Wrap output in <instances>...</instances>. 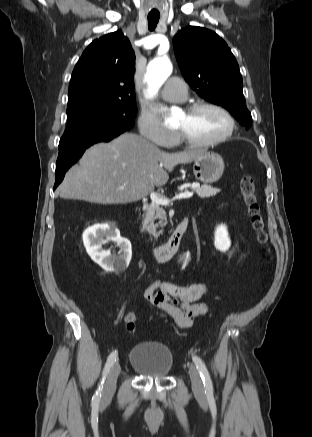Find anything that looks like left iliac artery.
<instances>
[{
  "mask_svg": "<svg viewBox=\"0 0 312 437\" xmlns=\"http://www.w3.org/2000/svg\"><path fill=\"white\" fill-rule=\"evenodd\" d=\"M193 362L196 365L197 370L200 373V376L202 378L204 387H205V393L208 396H212L213 395V384H212V380L210 378L209 372L206 368L205 363L202 361V359L198 356H193Z\"/></svg>",
  "mask_w": 312,
  "mask_h": 437,
  "instance_id": "obj_1",
  "label": "left iliac artery"
}]
</instances>
